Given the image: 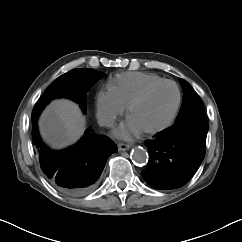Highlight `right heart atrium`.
Instances as JSON below:
<instances>
[{"instance_id": "1", "label": "right heart atrium", "mask_w": 242, "mask_h": 242, "mask_svg": "<svg viewBox=\"0 0 242 242\" xmlns=\"http://www.w3.org/2000/svg\"><path fill=\"white\" fill-rule=\"evenodd\" d=\"M124 110L125 106L110 89L98 92L96 97V113L102 125L107 127L112 126Z\"/></svg>"}]
</instances>
